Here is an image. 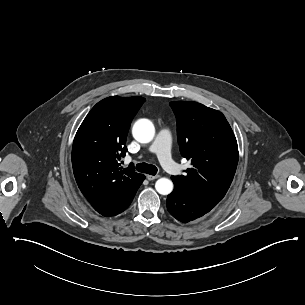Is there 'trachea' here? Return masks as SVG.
<instances>
[{"mask_svg": "<svg viewBox=\"0 0 305 305\" xmlns=\"http://www.w3.org/2000/svg\"><path fill=\"white\" fill-rule=\"evenodd\" d=\"M136 169L141 173H147L149 175H156L158 171L156 166L152 164H147L145 162L137 164Z\"/></svg>", "mask_w": 305, "mask_h": 305, "instance_id": "obj_1", "label": "trachea"}]
</instances>
